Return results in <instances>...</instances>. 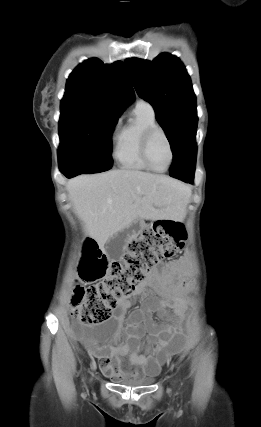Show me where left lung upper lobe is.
<instances>
[{"instance_id":"left-lung-upper-lobe-1","label":"left lung upper lobe","mask_w":261,"mask_h":427,"mask_svg":"<svg viewBox=\"0 0 261 427\" xmlns=\"http://www.w3.org/2000/svg\"><path fill=\"white\" fill-rule=\"evenodd\" d=\"M137 94L154 108L165 131L173 156L183 142L196 134V96L190 77L179 58L162 53L153 61H125Z\"/></svg>"}]
</instances>
